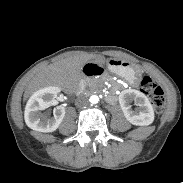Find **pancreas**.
<instances>
[{"mask_svg":"<svg viewBox=\"0 0 183 183\" xmlns=\"http://www.w3.org/2000/svg\"><path fill=\"white\" fill-rule=\"evenodd\" d=\"M97 80H91L90 82H89V85L91 86V87H93V86H95L96 84H97Z\"/></svg>","mask_w":183,"mask_h":183,"instance_id":"1","label":"pancreas"}]
</instances>
